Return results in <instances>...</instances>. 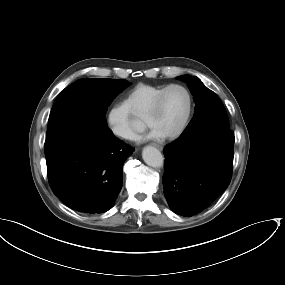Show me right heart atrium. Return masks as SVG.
Returning <instances> with one entry per match:
<instances>
[{
  "mask_svg": "<svg viewBox=\"0 0 285 285\" xmlns=\"http://www.w3.org/2000/svg\"><path fill=\"white\" fill-rule=\"evenodd\" d=\"M108 129L116 137L130 141L136 137L134 118L123 103L108 106L105 112Z\"/></svg>",
  "mask_w": 285,
  "mask_h": 285,
  "instance_id": "right-heart-atrium-1",
  "label": "right heart atrium"
}]
</instances>
